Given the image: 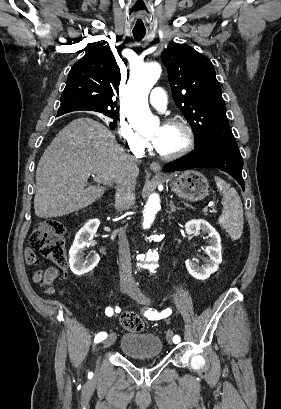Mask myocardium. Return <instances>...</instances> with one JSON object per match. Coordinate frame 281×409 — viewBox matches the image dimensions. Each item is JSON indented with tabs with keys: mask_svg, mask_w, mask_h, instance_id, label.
Returning a JSON list of instances; mask_svg holds the SVG:
<instances>
[{
	"mask_svg": "<svg viewBox=\"0 0 281 409\" xmlns=\"http://www.w3.org/2000/svg\"><path fill=\"white\" fill-rule=\"evenodd\" d=\"M163 125L180 127L185 134V142L180 149L171 153H163L154 147V150L157 153V155L163 160L172 161L188 154L194 147L195 143V135L192 127L185 120L180 118H169L165 120Z\"/></svg>",
	"mask_w": 281,
	"mask_h": 409,
	"instance_id": "f54148a6",
	"label": "myocardium"
}]
</instances>
